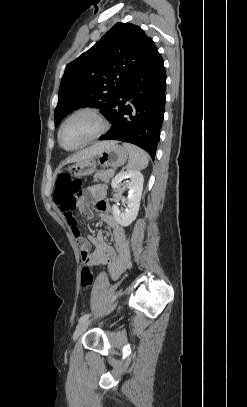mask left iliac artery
I'll use <instances>...</instances> for the list:
<instances>
[{
  "label": "left iliac artery",
  "instance_id": "left-iliac-artery-1",
  "mask_svg": "<svg viewBox=\"0 0 247 407\" xmlns=\"http://www.w3.org/2000/svg\"><path fill=\"white\" fill-rule=\"evenodd\" d=\"M115 299H116V295L112 298V300H115ZM89 317H90V314H89V313L83 315V316L79 319V323H81V322H83V321H86Z\"/></svg>",
  "mask_w": 247,
  "mask_h": 407
}]
</instances>
